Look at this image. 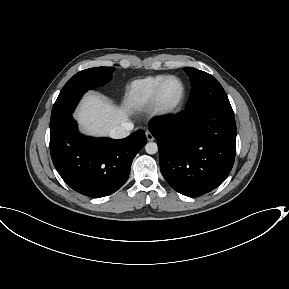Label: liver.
Wrapping results in <instances>:
<instances>
[{
	"mask_svg": "<svg viewBox=\"0 0 289 289\" xmlns=\"http://www.w3.org/2000/svg\"><path fill=\"white\" fill-rule=\"evenodd\" d=\"M75 118L84 133L105 136L114 127L128 120V112L124 108L111 105L99 94L89 93L84 96Z\"/></svg>",
	"mask_w": 289,
	"mask_h": 289,
	"instance_id": "1",
	"label": "liver"
}]
</instances>
